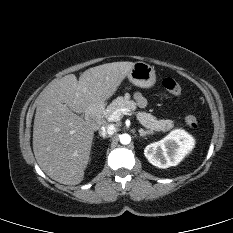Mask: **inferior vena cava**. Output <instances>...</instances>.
Listing matches in <instances>:
<instances>
[{"instance_id": "inferior-vena-cava-1", "label": "inferior vena cava", "mask_w": 233, "mask_h": 233, "mask_svg": "<svg viewBox=\"0 0 233 233\" xmlns=\"http://www.w3.org/2000/svg\"><path fill=\"white\" fill-rule=\"evenodd\" d=\"M116 132V128L114 125H106V126H102L99 130V134L100 136L106 137V136H110L113 135Z\"/></svg>"}]
</instances>
